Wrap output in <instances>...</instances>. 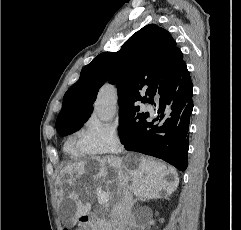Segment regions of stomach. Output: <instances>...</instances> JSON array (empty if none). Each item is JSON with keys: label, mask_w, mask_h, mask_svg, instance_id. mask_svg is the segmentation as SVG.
Returning a JSON list of instances; mask_svg holds the SVG:
<instances>
[{"label": "stomach", "mask_w": 241, "mask_h": 230, "mask_svg": "<svg viewBox=\"0 0 241 230\" xmlns=\"http://www.w3.org/2000/svg\"><path fill=\"white\" fill-rule=\"evenodd\" d=\"M78 230H88V227L84 224H79V229Z\"/></svg>", "instance_id": "stomach-1"}]
</instances>
